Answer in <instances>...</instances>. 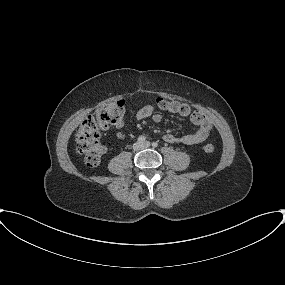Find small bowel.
I'll list each match as a JSON object with an SVG mask.
<instances>
[{"instance_id": "c3829d8e", "label": "small bowel", "mask_w": 285, "mask_h": 285, "mask_svg": "<svg viewBox=\"0 0 285 285\" xmlns=\"http://www.w3.org/2000/svg\"><path fill=\"white\" fill-rule=\"evenodd\" d=\"M137 120H144L147 118H151L153 122L159 123L162 121V115L158 112H156L155 108L150 105H146L138 110L136 113ZM198 125V129L195 133L192 134H185L182 136H175L173 134H165L163 136V140L167 143H181L188 146L198 145L204 142L210 132V124L207 120H205L201 124ZM117 131V137L120 139H124L126 137V134L121 130L124 126V119L121 118L114 124ZM106 128V127H104Z\"/></svg>"}]
</instances>
